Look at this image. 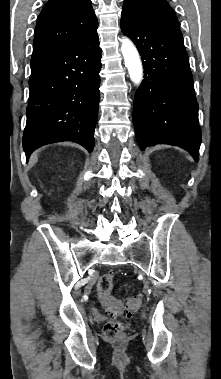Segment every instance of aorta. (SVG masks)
<instances>
[{
	"label": "aorta",
	"mask_w": 221,
	"mask_h": 379,
	"mask_svg": "<svg viewBox=\"0 0 221 379\" xmlns=\"http://www.w3.org/2000/svg\"><path fill=\"white\" fill-rule=\"evenodd\" d=\"M121 52L125 66L128 69L130 79L135 85H140L143 78V69L139 53L130 39L123 37Z\"/></svg>",
	"instance_id": "aorta-1"
}]
</instances>
